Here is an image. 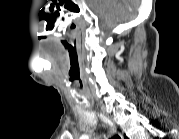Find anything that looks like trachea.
<instances>
[{"instance_id":"1","label":"trachea","mask_w":179,"mask_h":139,"mask_svg":"<svg viewBox=\"0 0 179 139\" xmlns=\"http://www.w3.org/2000/svg\"><path fill=\"white\" fill-rule=\"evenodd\" d=\"M113 139H120V137L118 135H115L112 137Z\"/></svg>"}]
</instances>
